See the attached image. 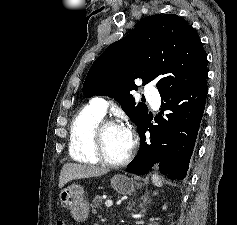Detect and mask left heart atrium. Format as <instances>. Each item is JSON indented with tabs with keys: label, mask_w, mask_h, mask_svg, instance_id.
<instances>
[{
	"label": "left heart atrium",
	"mask_w": 237,
	"mask_h": 225,
	"mask_svg": "<svg viewBox=\"0 0 237 225\" xmlns=\"http://www.w3.org/2000/svg\"><path fill=\"white\" fill-rule=\"evenodd\" d=\"M124 128H125V130H126V132H127V135H128L129 141H130V144H131V146H132V143H133L132 132H131V130H130L129 128H126V127H124Z\"/></svg>",
	"instance_id": "left-heart-atrium-1"
}]
</instances>
